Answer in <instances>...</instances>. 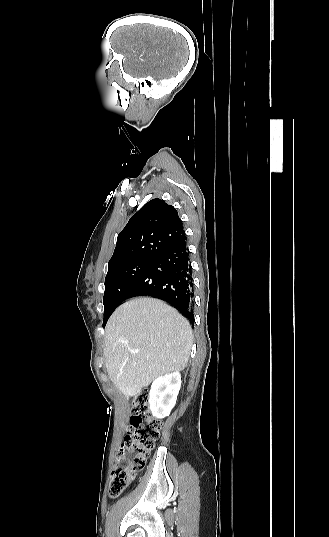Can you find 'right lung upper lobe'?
Returning a JSON list of instances; mask_svg holds the SVG:
<instances>
[{
  "label": "right lung upper lobe",
  "instance_id": "cb5924a9",
  "mask_svg": "<svg viewBox=\"0 0 329 537\" xmlns=\"http://www.w3.org/2000/svg\"><path fill=\"white\" fill-rule=\"evenodd\" d=\"M185 237L177 210L161 199L147 202L119 233L108 271L127 262L155 259Z\"/></svg>",
  "mask_w": 329,
  "mask_h": 537
}]
</instances>
